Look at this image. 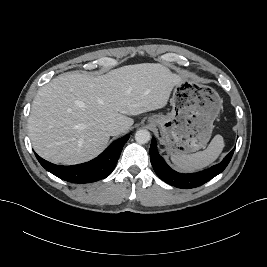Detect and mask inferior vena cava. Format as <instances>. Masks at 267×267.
<instances>
[{
	"label": "inferior vena cava",
	"mask_w": 267,
	"mask_h": 267,
	"mask_svg": "<svg viewBox=\"0 0 267 267\" xmlns=\"http://www.w3.org/2000/svg\"><path fill=\"white\" fill-rule=\"evenodd\" d=\"M107 131L110 135H118L123 131V127L119 123H110L107 125Z\"/></svg>",
	"instance_id": "602c4592"
}]
</instances>
